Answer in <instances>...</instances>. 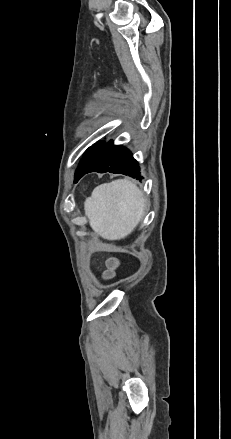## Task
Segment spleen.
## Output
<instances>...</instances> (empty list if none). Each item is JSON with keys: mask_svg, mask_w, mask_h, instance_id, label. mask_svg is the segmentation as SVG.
<instances>
[{"mask_svg": "<svg viewBox=\"0 0 231 439\" xmlns=\"http://www.w3.org/2000/svg\"><path fill=\"white\" fill-rule=\"evenodd\" d=\"M144 207L142 192L126 179L97 186L84 204L90 226L108 240L131 233L142 219Z\"/></svg>", "mask_w": 231, "mask_h": 439, "instance_id": "3e777b00", "label": "spleen"}]
</instances>
